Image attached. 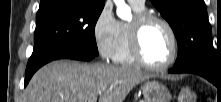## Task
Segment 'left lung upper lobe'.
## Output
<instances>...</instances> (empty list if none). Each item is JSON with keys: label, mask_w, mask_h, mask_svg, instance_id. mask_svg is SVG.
<instances>
[{"label": "left lung upper lobe", "mask_w": 221, "mask_h": 102, "mask_svg": "<svg viewBox=\"0 0 221 102\" xmlns=\"http://www.w3.org/2000/svg\"><path fill=\"white\" fill-rule=\"evenodd\" d=\"M172 27L178 42L174 67L198 64L220 75L221 53L214 50L204 0H151Z\"/></svg>", "instance_id": "5c2ea615"}]
</instances>
